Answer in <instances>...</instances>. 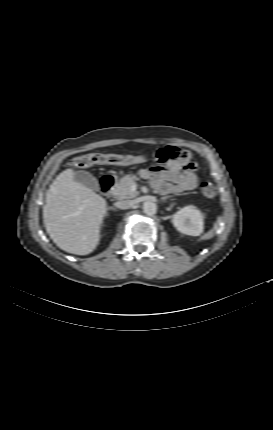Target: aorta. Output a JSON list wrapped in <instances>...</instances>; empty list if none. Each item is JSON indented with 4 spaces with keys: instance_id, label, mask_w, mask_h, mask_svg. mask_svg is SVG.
<instances>
[{
    "instance_id": "1",
    "label": "aorta",
    "mask_w": 273,
    "mask_h": 430,
    "mask_svg": "<svg viewBox=\"0 0 273 430\" xmlns=\"http://www.w3.org/2000/svg\"><path fill=\"white\" fill-rule=\"evenodd\" d=\"M143 212L148 216H153L157 212V205L152 201H146L143 203Z\"/></svg>"
}]
</instances>
